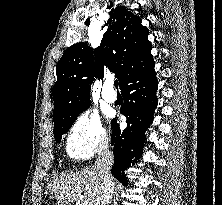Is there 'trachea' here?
<instances>
[{
  "mask_svg": "<svg viewBox=\"0 0 222 205\" xmlns=\"http://www.w3.org/2000/svg\"><path fill=\"white\" fill-rule=\"evenodd\" d=\"M114 85H115V87L118 89V85H119L118 81H115V82H114Z\"/></svg>",
  "mask_w": 222,
  "mask_h": 205,
  "instance_id": "obj_1",
  "label": "trachea"
}]
</instances>
